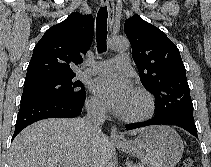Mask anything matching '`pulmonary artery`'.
<instances>
[{
  "label": "pulmonary artery",
  "instance_id": "1",
  "mask_svg": "<svg viewBox=\"0 0 211 167\" xmlns=\"http://www.w3.org/2000/svg\"><path fill=\"white\" fill-rule=\"evenodd\" d=\"M131 69V61L128 55L119 54L113 59L99 61L91 67L84 70L85 74H107L114 70Z\"/></svg>",
  "mask_w": 211,
  "mask_h": 167
}]
</instances>
